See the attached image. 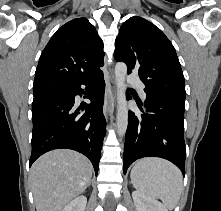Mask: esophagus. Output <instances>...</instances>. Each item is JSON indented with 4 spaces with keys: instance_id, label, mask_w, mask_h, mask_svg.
<instances>
[{
    "instance_id": "esophagus-1",
    "label": "esophagus",
    "mask_w": 221,
    "mask_h": 211,
    "mask_svg": "<svg viewBox=\"0 0 221 211\" xmlns=\"http://www.w3.org/2000/svg\"><path fill=\"white\" fill-rule=\"evenodd\" d=\"M113 107V97L109 93H105L104 105H103V113L107 117V115L111 112Z\"/></svg>"
}]
</instances>
